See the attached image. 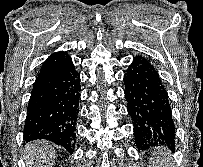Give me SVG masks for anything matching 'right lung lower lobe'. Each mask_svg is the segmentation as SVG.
<instances>
[{
  "mask_svg": "<svg viewBox=\"0 0 203 167\" xmlns=\"http://www.w3.org/2000/svg\"><path fill=\"white\" fill-rule=\"evenodd\" d=\"M80 77L70 60L55 75L35 83L28 103L24 140H49L74 151Z\"/></svg>",
  "mask_w": 203,
  "mask_h": 167,
  "instance_id": "obj_1",
  "label": "right lung lower lobe"
}]
</instances>
